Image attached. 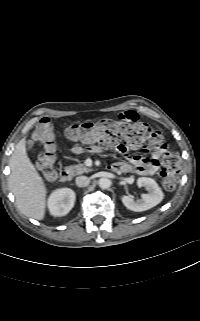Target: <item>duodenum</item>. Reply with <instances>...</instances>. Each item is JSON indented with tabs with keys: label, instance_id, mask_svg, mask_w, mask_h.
<instances>
[{
	"label": "duodenum",
	"instance_id": "410a0bca",
	"mask_svg": "<svg viewBox=\"0 0 200 321\" xmlns=\"http://www.w3.org/2000/svg\"><path fill=\"white\" fill-rule=\"evenodd\" d=\"M72 178V172L70 169L66 168L60 173V180L63 182H67Z\"/></svg>",
	"mask_w": 200,
	"mask_h": 321
}]
</instances>
